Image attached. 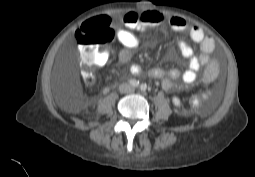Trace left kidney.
Returning <instances> with one entry per match:
<instances>
[{
    "mask_svg": "<svg viewBox=\"0 0 255 177\" xmlns=\"http://www.w3.org/2000/svg\"><path fill=\"white\" fill-rule=\"evenodd\" d=\"M172 102L176 107L180 106L181 104L180 99L178 97H173Z\"/></svg>",
    "mask_w": 255,
    "mask_h": 177,
    "instance_id": "left-kidney-1",
    "label": "left kidney"
}]
</instances>
